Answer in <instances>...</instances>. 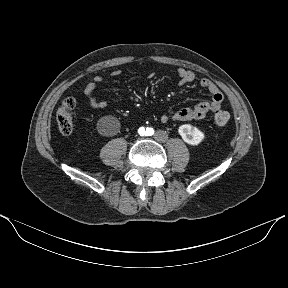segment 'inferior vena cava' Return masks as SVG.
Here are the masks:
<instances>
[{
	"label": "inferior vena cava",
	"instance_id": "1",
	"mask_svg": "<svg viewBox=\"0 0 288 288\" xmlns=\"http://www.w3.org/2000/svg\"><path fill=\"white\" fill-rule=\"evenodd\" d=\"M170 139V134L166 130H161L155 133L154 140L158 144H163L168 142Z\"/></svg>",
	"mask_w": 288,
	"mask_h": 288
}]
</instances>
